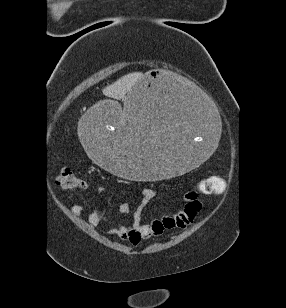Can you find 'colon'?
Listing matches in <instances>:
<instances>
[{
    "label": "colon",
    "mask_w": 286,
    "mask_h": 308,
    "mask_svg": "<svg viewBox=\"0 0 286 308\" xmlns=\"http://www.w3.org/2000/svg\"><path fill=\"white\" fill-rule=\"evenodd\" d=\"M57 184L66 190L81 189L83 181L68 167H62L56 178ZM226 188L225 181L220 177H210L203 180L199 190L204 194L220 193Z\"/></svg>",
    "instance_id": "1"
}]
</instances>
